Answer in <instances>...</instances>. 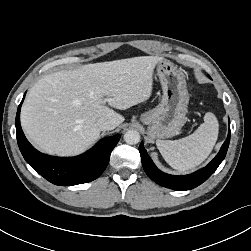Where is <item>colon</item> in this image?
<instances>
[{
  "label": "colon",
  "mask_w": 251,
  "mask_h": 251,
  "mask_svg": "<svg viewBox=\"0 0 251 251\" xmlns=\"http://www.w3.org/2000/svg\"><path fill=\"white\" fill-rule=\"evenodd\" d=\"M190 86H191V88H195V85H194V84H191Z\"/></svg>",
  "instance_id": "obj_1"
}]
</instances>
